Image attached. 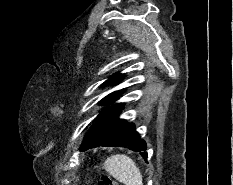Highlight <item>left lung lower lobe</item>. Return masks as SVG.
Instances as JSON below:
<instances>
[{"label":"left lung lower lobe","instance_id":"obj_1","mask_svg":"<svg viewBox=\"0 0 233 185\" xmlns=\"http://www.w3.org/2000/svg\"><path fill=\"white\" fill-rule=\"evenodd\" d=\"M122 109L123 104H114L109 107L87 133L80 150L84 151L98 146L127 147L130 150L140 152V155L146 160L147 152L145 150L147 146L135 131L134 124L127 123L124 119H118Z\"/></svg>","mask_w":233,"mask_h":185}]
</instances>
